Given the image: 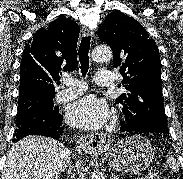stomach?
Wrapping results in <instances>:
<instances>
[{
	"mask_svg": "<svg viewBox=\"0 0 183 179\" xmlns=\"http://www.w3.org/2000/svg\"><path fill=\"white\" fill-rule=\"evenodd\" d=\"M153 156L152 145L141 135L122 139L107 152L110 167L125 173L144 170L150 165Z\"/></svg>",
	"mask_w": 183,
	"mask_h": 179,
	"instance_id": "stomach-1",
	"label": "stomach"
}]
</instances>
